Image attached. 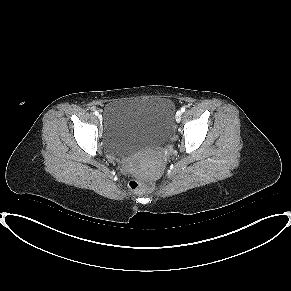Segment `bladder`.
Returning a JSON list of instances; mask_svg holds the SVG:
<instances>
[{
  "label": "bladder",
  "instance_id": "obj_1",
  "mask_svg": "<svg viewBox=\"0 0 291 291\" xmlns=\"http://www.w3.org/2000/svg\"><path fill=\"white\" fill-rule=\"evenodd\" d=\"M174 104L169 98L117 100L102 115L103 143L113 155H128L157 146L169 138Z\"/></svg>",
  "mask_w": 291,
  "mask_h": 291
}]
</instances>
